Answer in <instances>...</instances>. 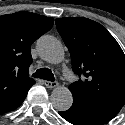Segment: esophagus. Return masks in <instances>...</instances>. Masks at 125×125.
<instances>
[{
  "mask_svg": "<svg viewBox=\"0 0 125 125\" xmlns=\"http://www.w3.org/2000/svg\"><path fill=\"white\" fill-rule=\"evenodd\" d=\"M43 83H44V85H45L47 88H50V89L55 88V87L58 86V83L55 82V81H47V80H45V81H43Z\"/></svg>",
  "mask_w": 125,
  "mask_h": 125,
  "instance_id": "1",
  "label": "esophagus"
}]
</instances>
